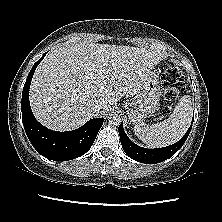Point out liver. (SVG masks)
Returning <instances> with one entry per match:
<instances>
[{
    "label": "liver",
    "instance_id": "1",
    "mask_svg": "<svg viewBox=\"0 0 222 222\" xmlns=\"http://www.w3.org/2000/svg\"><path fill=\"white\" fill-rule=\"evenodd\" d=\"M166 54L153 48L79 43L51 50L38 65L30 86L36 119L49 129L69 131L105 114L123 96L138 93ZM89 103L101 104L93 113Z\"/></svg>",
    "mask_w": 222,
    "mask_h": 222
}]
</instances>
